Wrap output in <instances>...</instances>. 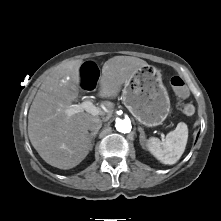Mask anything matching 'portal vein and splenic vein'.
I'll return each instance as SVG.
<instances>
[{
    "label": "portal vein and splenic vein",
    "mask_w": 221,
    "mask_h": 221,
    "mask_svg": "<svg viewBox=\"0 0 221 221\" xmlns=\"http://www.w3.org/2000/svg\"><path fill=\"white\" fill-rule=\"evenodd\" d=\"M83 111H86L93 116H98L102 113L101 110L96 107L90 100L84 101L80 104L72 105L68 110H66V113L69 116H72Z\"/></svg>",
    "instance_id": "1"
}]
</instances>
